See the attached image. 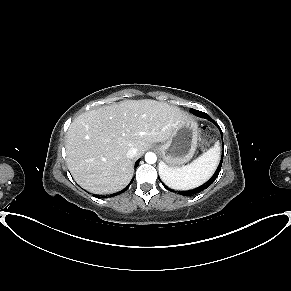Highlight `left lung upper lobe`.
Segmentation results:
<instances>
[{
    "label": "left lung upper lobe",
    "mask_w": 291,
    "mask_h": 291,
    "mask_svg": "<svg viewBox=\"0 0 291 291\" xmlns=\"http://www.w3.org/2000/svg\"><path fill=\"white\" fill-rule=\"evenodd\" d=\"M193 110H194V109L191 108V109H190V112L192 113Z\"/></svg>",
    "instance_id": "obj_1"
}]
</instances>
